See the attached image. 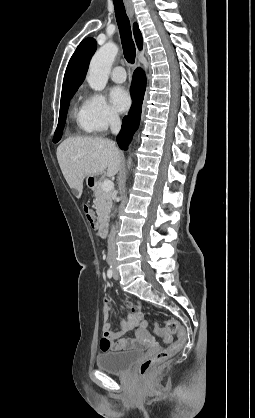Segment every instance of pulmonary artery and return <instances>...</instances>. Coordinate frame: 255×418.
Masks as SVG:
<instances>
[{"label":"pulmonary artery","mask_w":255,"mask_h":418,"mask_svg":"<svg viewBox=\"0 0 255 418\" xmlns=\"http://www.w3.org/2000/svg\"><path fill=\"white\" fill-rule=\"evenodd\" d=\"M111 79L114 82L122 83L126 79V72L125 69L122 66H116L111 71Z\"/></svg>","instance_id":"1"}]
</instances>
